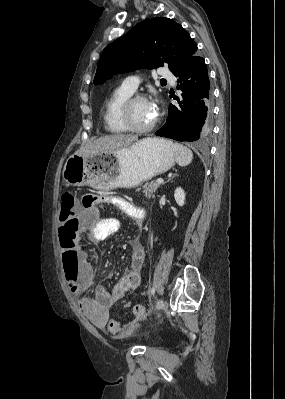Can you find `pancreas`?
Returning <instances> with one entry per match:
<instances>
[{"instance_id": "pancreas-1", "label": "pancreas", "mask_w": 285, "mask_h": 399, "mask_svg": "<svg viewBox=\"0 0 285 399\" xmlns=\"http://www.w3.org/2000/svg\"><path fill=\"white\" fill-rule=\"evenodd\" d=\"M160 184L155 183V182H151V183H145L142 188H137L136 191H140L142 190L144 195L148 198H154L155 195L154 193L157 191V189L159 188Z\"/></svg>"}]
</instances>
